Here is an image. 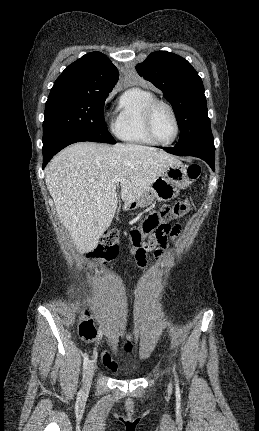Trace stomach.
Masks as SVG:
<instances>
[{
  "mask_svg": "<svg viewBox=\"0 0 259 431\" xmlns=\"http://www.w3.org/2000/svg\"><path fill=\"white\" fill-rule=\"evenodd\" d=\"M189 184L186 167L182 163L170 165L138 199L125 204L124 209L134 210L146 207L154 200L169 201L177 197L180 190L188 187Z\"/></svg>",
  "mask_w": 259,
  "mask_h": 431,
  "instance_id": "obj_1",
  "label": "stomach"
}]
</instances>
